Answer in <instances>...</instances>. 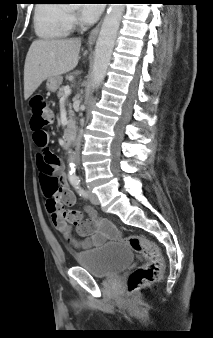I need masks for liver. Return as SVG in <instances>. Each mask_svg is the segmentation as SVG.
Returning a JSON list of instances; mask_svg holds the SVG:
<instances>
[{
  "label": "liver",
  "mask_w": 213,
  "mask_h": 338,
  "mask_svg": "<svg viewBox=\"0 0 213 338\" xmlns=\"http://www.w3.org/2000/svg\"><path fill=\"white\" fill-rule=\"evenodd\" d=\"M80 47V39L34 41L24 65L25 100L49 77L73 70L78 64Z\"/></svg>",
  "instance_id": "1"
}]
</instances>
